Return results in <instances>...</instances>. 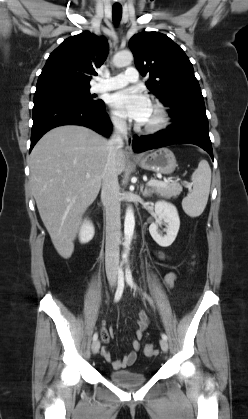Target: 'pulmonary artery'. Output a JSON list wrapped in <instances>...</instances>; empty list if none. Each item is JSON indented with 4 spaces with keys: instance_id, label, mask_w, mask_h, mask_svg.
I'll return each instance as SVG.
<instances>
[{
    "instance_id": "e3ab8cb5",
    "label": "pulmonary artery",
    "mask_w": 248,
    "mask_h": 419,
    "mask_svg": "<svg viewBox=\"0 0 248 419\" xmlns=\"http://www.w3.org/2000/svg\"><path fill=\"white\" fill-rule=\"evenodd\" d=\"M139 75L135 67L126 68L124 73L108 77L106 80L99 82L94 90L96 92H103L115 90L124 87L125 85L138 81Z\"/></svg>"
}]
</instances>
